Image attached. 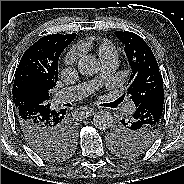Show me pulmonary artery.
Listing matches in <instances>:
<instances>
[{
	"instance_id": "obj_1",
	"label": "pulmonary artery",
	"mask_w": 184,
	"mask_h": 184,
	"mask_svg": "<svg viewBox=\"0 0 184 184\" xmlns=\"http://www.w3.org/2000/svg\"><path fill=\"white\" fill-rule=\"evenodd\" d=\"M117 65V58L103 60V71L98 77L90 82L77 86L63 88L57 91L54 95V102L58 104L73 102L89 95L90 93L94 92L102 84V82L115 71ZM126 107L129 113L135 111V106L132 103H128Z\"/></svg>"
}]
</instances>
